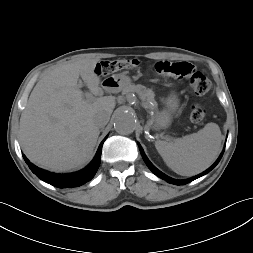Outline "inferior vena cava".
<instances>
[{
  "label": "inferior vena cava",
  "instance_id": "inferior-vena-cava-1",
  "mask_svg": "<svg viewBox=\"0 0 253 253\" xmlns=\"http://www.w3.org/2000/svg\"><path fill=\"white\" fill-rule=\"evenodd\" d=\"M109 119H110V115L103 112L96 116L95 123L98 127L101 128V127H104L109 122Z\"/></svg>",
  "mask_w": 253,
  "mask_h": 253
}]
</instances>
